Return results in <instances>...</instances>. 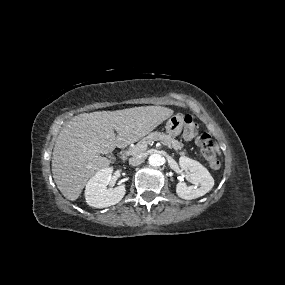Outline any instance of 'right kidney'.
Masks as SVG:
<instances>
[{
	"instance_id": "1",
	"label": "right kidney",
	"mask_w": 285,
	"mask_h": 285,
	"mask_svg": "<svg viewBox=\"0 0 285 285\" xmlns=\"http://www.w3.org/2000/svg\"><path fill=\"white\" fill-rule=\"evenodd\" d=\"M113 168H105L98 171L86 184L85 199L89 206L105 208L120 202L125 195L124 184L115 188H108Z\"/></svg>"
}]
</instances>
